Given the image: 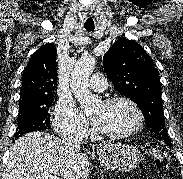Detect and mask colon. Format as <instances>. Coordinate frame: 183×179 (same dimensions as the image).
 I'll return each instance as SVG.
<instances>
[{"mask_svg":"<svg viewBox=\"0 0 183 179\" xmlns=\"http://www.w3.org/2000/svg\"><path fill=\"white\" fill-rule=\"evenodd\" d=\"M152 156H153V158H154L155 166H156L157 168H160V167H161V154H160V152L157 151V150H153V151H152ZM162 179H171V178L168 177V176L163 175V176H162Z\"/></svg>","mask_w":183,"mask_h":179,"instance_id":"1","label":"colon"}]
</instances>
